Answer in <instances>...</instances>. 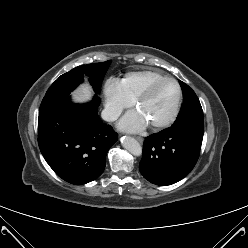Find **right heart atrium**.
<instances>
[{
	"instance_id": "1",
	"label": "right heart atrium",
	"mask_w": 248,
	"mask_h": 248,
	"mask_svg": "<svg viewBox=\"0 0 248 248\" xmlns=\"http://www.w3.org/2000/svg\"><path fill=\"white\" fill-rule=\"evenodd\" d=\"M105 115L107 120L114 121L121 112L132 105L133 100L126 94L121 81L110 78L104 86Z\"/></svg>"
}]
</instances>
